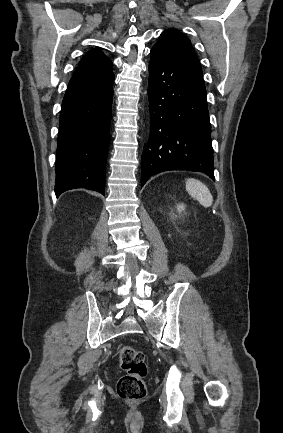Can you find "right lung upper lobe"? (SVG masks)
I'll list each match as a JSON object with an SVG mask.
<instances>
[{"mask_svg":"<svg viewBox=\"0 0 283 433\" xmlns=\"http://www.w3.org/2000/svg\"><path fill=\"white\" fill-rule=\"evenodd\" d=\"M113 75L112 62L100 49L86 53L68 86L93 83Z\"/></svg>","mask_w":283,"mask_h":433,"instance_id":"right-lung-upper-lobe-1","label":"right lung upper lobe"}]
</instances>
